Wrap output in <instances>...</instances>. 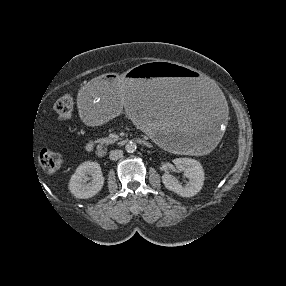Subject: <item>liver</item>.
I'll use <instances>...</instances> for the list:
<instances>
[{"label": "liver", "mask_w": 286, "mask_h": 286, "mask_svg": "<svg viewBox=\"0 0 286 286\" xmlns=\"http://www.w3.org/2000/svg\"><path fill=\"white\" fill-rule=\"evenodd\" d=\"M127 87L124 85V84H122L121 85V87H120V90H119V95H120V97H121V101H122V103H124V100H125V94H126V92H127Z\"/></svg>", "instance_id": "1"}]
</instances>
